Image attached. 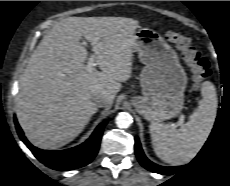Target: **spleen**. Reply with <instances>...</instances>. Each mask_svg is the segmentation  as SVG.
Listing matches in <instances>:
<instances>
[{"label":"spleen","instance_id":"3e777b00","mask_svg":"<svg viewBox=\"0 0 230 186\" xmlns=\"http://www.w3.org/2000/svg\"><path fill=\"white\" fill-rule=\"evenodd\" d=\"M202 99L198 108L179 129L152 122L149 126L156 155L166 163H189L206 142L216 119L218 98L213 83L205 81L201 87Z\"/></svg>","mask_w":230,"mask_h":186}]
</instances>
